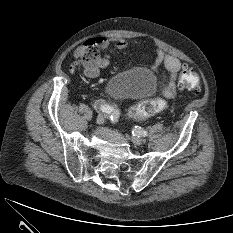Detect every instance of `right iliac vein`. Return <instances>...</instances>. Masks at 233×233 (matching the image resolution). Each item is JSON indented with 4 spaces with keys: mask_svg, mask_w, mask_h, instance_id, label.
I'll use <instances>...</instances> for the list:
<instances>
[{
    "mask_svg": "<svg viewBox=\"0 0 233 233\" xmlns=\"http://www.w3.org/2000/svg\"><path fill=\"white\" fill-rule=\"evenodd\" d=\"M106 115L99 114L96 118L97 124H103L105 122Z\"/></svg>",
    "mask_w": 233,
    "mask_h": 233,
    "instance_id": "1",
    "label": "right iliac vein"
}]
</instances>
